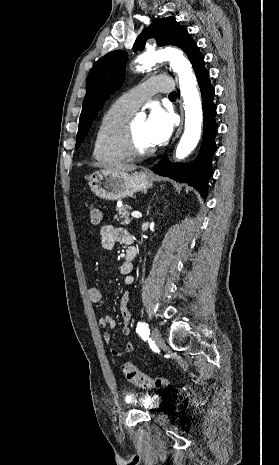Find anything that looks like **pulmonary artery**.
Here are the masks:
<instances>
[{
    "instance_id": "e3ab8cb5",
    "label": "pulmonary artery",
    "mask_w": 279,
    "mask_h": 465,
    "mask_svg": "<svg viewBox=\"0 0 279 465\" xmlns=\"http://www.w3.org/2000/svg\"><path fill=\"white\" fill-rule=\"evenodd\" d=\"M173 89L171 80L165 76H156L148 79L136 88L124 93L117 99V103L134 112L143 103L148 101L155 93H169Z\"/></svg>"
}]
</instances>
